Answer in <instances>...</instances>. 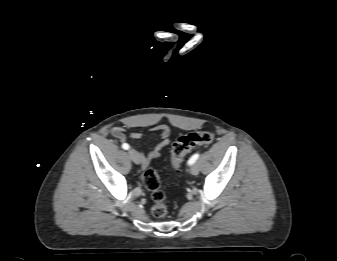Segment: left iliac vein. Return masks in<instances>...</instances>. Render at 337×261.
Masks as SVG:
<instances>
[{
    "label": "left iliac vein",
    "mask_w": 337,
    "mask_h": 261,
    "mask_svg": "<svg viewBox=\"0 0 337 261\" xmlns=\"http://www.w3.org/2000/svg\"><path fill=\"white\" fill-rule=\"evenodd\" d=\"M190 173L192 175H197L199 173V166L197 164H193L190 167Z\"/></svg>",
    "instance_id": "1"
}]
</instances>
